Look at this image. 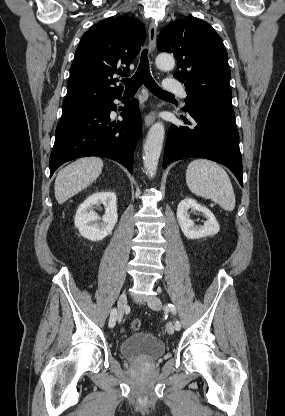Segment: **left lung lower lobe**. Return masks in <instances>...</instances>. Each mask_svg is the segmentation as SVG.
Returning <instances> with one entry per match:
<instances>
[{
  "label": "left lung lower lobe",
  "mask_w": 285,
  "mask_h": 416,
  "mask_svg": "<svg viewBox=\"0 0 285 416\" xmlns=\"http://www.w3.org/2000/svg\"><path fill=\"white\" fill-rule=\"evenodd\" d=\"M196 126L172 125L165 145L163 168L186 158L210 159L228 167L243 187L239 134L233 111L219 108L188 110ZM185 123L190 124L182 116Z\"/></svg>",
  "instance_id": "left-lung-lower-lobe-1"
}]
</instances>
